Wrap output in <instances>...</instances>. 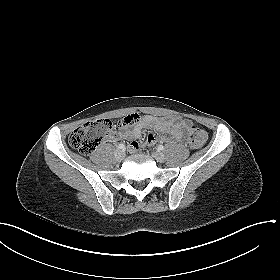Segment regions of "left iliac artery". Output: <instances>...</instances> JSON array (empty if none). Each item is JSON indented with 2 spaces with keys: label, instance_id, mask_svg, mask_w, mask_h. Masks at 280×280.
<instances>
[{
  "label": "left iliac artery",
  "instance_id": "44dca946",
  "mask_svg": "<svg viewBox=\"0 0 280 280\" xmlns=\"http://www.w3.org/2000/svg\"><path fill=\"white\" fill-rule=\"evenodd\" d=\"M163 149H164V146H163V145H159V146H158V150H159V151H162Z\"/></svg>",
  "mask_w": 280,
  "mask_h": 280
}]
</instances>
